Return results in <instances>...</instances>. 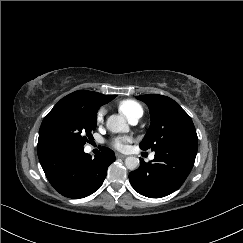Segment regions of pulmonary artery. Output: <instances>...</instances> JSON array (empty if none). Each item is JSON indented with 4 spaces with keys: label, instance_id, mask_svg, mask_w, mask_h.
Here are the masks:
<instances>
[{
    "label": "pulmonary artery",
    "instance_id": "pulmonary-artery-1",
    "mask_svg": "<svg viewBox=\"0 0 243 243\" xmlns=\"http://www.w3.org/2000/svg\"><path fill=\"white\" fill-rule=\"evenodd\" d=\"M140 118H141V117H135V118L131 119L129 122H130V124H132V125H136V124L138 123V121H139ZM150 158L153 159V158H154V155H151Z\"/></svg>",
    "mask_w": 243,
    "mask_h": 243
}]
</instances>
